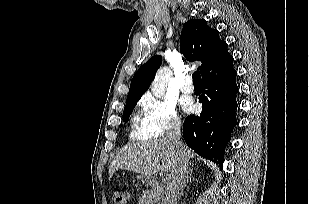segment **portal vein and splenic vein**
Segmentation results:
<instances>
[{
  "mask_svg": "<svg viewBox=\"0 0 309 204\" xmlns=\"http://www.w3.org/2000/svg\"><path fill=\"white\" fill-rule=\"evenodd\" d=\"M167 180H168V177L165 176V177L163 178V181L165 182V181H167Z\"/></svg>",
  "mask_w": 309,
  "mask_h": 204,
  "instance_id": "obj_1",
  "label": "portal vein and splenic vein"
}]
</instances>
